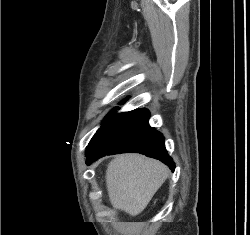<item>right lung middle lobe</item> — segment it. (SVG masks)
<instances>
[{
  "instance_id": "obj_1",
  "label": "right lung middle lobe",
  "mask_w": 250,
  "mask_h": 235,
  "mask_svg": "<svg viewBox=\"0 0 250 235\" xmlns=\"http://www.w3.org/2000/svg\"><path fill=\"white\" fill-rule=\"evenodd\" d=\"M116 109H118V107L114 108L109 115H112L116 111Z\"/></svg>"
}]
</instances>
